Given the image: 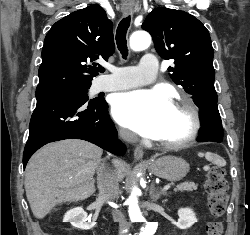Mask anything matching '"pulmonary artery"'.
<instances>
[{"label":"pulmonary artery","mask_w":250,"mask_h":235,"mask_svg":"<svg viewBox=\"0 0 250 235\" xmlns=\"http://www.w3.org/2000/svg\"><path fill=\"white\" fill-rule=\"evenodd\" d=\"M158 67V61L153 54L147 53L141 58L138 66H128L116 68L105 81L97 83L98 91H117L129 89L150 83L153 79V73Z\"/></svg>","instance_id":"e3ab8cb5"}]
</instances>
